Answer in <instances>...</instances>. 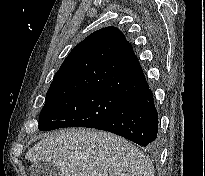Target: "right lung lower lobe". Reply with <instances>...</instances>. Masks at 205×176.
Masks as SVG:
<instances>
[{
  "label": "right lung lower lobe",
  "instance_id": "obj_1",
  "mask_svg": "<svg viewBox=\"0 0 205 176\" xmlns=\"http://www.w3.org/2000/svg\"><path fill=\"white\" fill-rule=\"evenodd\" d=\"M95 129L129 139L150 150L158 147V113L149 86L126 99L106 122Z\"/></svg>",
  "mask_w": 205,
  "mask_h": 176
}]
</instances>
